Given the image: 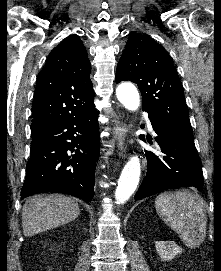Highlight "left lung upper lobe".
<instances>
[{"label": "left lung upper lobe", "instance_id": "left-lung-upper-lobe-1", "mask_svg": "<svg viewBox=\"0 0 221 271\" xmlns=\"http://www.w3.org/2000/svg\"><path fill=\"white\" fill-rule=\"evenodd\" d=\"M136 83L142 110L193 138L182 84L168 52L144 34H131L117 65L115 81Z\"/></svg>", "mask_w": 221, "mask_h": 271}]
</instances>
